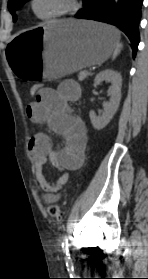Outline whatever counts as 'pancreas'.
I'll list each match as a JSON object with an SVG mask.
<instances>
[{
    "label": "pancreas",
    "instance_id": "1",
    "mask_svg": "<svg viewBox=\"0 0 148 279\" xmlns=\"http://www.w3.org/2000/svg\"><path fill=\"white\" fill-rule=\"evenodd\" d=\"M81 75H82V72H80V73H79V75H78V79H79V81H83V80L85 79V77H84V78H82V77H81Z\"/></svg>",
    "mask_w": 148,
    "mask_h": 279
}]
</instances>
